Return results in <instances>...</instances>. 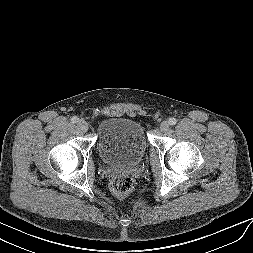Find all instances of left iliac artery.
I'll use <instances>...</instances> for the list:
<instances>
[{
	"label": "left iliac artery",
	"instance_id": "left-iliac-artery-1",
	"mask_svg": "<svg viewBox=\"0 0 253 253\" xmlns=\"http://www.w3.org/2000/svg\"><path fill=\"white\" fill-rule=\"evenodd\" d=\"M168 122L170 125H175L177 123V120L175 118H170Z\"/></svg>",
	"mask_w": 253,
	"mask_h": 253
}]
</instances>
